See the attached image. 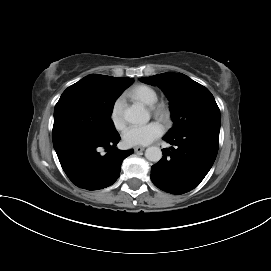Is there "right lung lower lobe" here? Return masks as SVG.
I'll return each instance as SVG.
<instances>
[{"label":"right lung lower lobe","mask_w":271,"mask_h":271,"mask_svg":"<svg viewBox=\"0 0 271 271\" xmlns=\"http://www.w3.org/2000/svg\"><path fill=\"white\" fill-rule=\"evenodd\" d=\"M119 140L118 132L83 136L61 143L55 151L64 172L76 186L97 190L117 180L122 161L133 153V150H118ZM102 149L107 154H100Z\"/></svg>","instance_id":"obj_1"}]
</instances>
